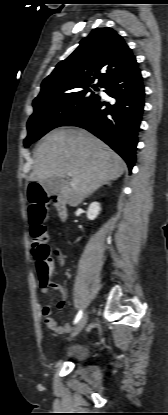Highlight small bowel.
<instances>
[{"label":"small bowel","mask_w":168,"mask_h":415,"mask_svg":"<svg viewBox=\"0 0 168 415\" xmlns=\"http://www.w3.org/2000/svg\"><path fill=\"white\" fill-rule=\"evenodd\" d=\"M54 253L57 258L58 263L63 264V258H62L61 253L58 250H56ZM52 287L61 292V299L58 302V308L59 310H63L66 306L64 288L60 284H57V283L52 284ZM48 292H49V288L47 286L41 287L42 294H48ZM51 314H52V311H51L50 305L49 304L44 305L42 308V315L44 316V321L48 328L58 333L65 332L69 329V326L67 324L59 325L55 321V319L52 317Z\"/></svg>","instance_id":"c3829d8e"}]
</instances>
